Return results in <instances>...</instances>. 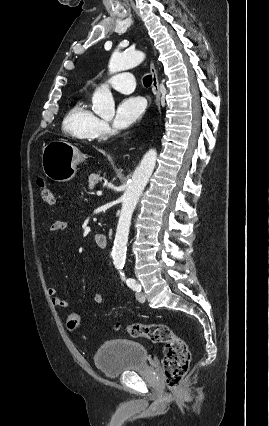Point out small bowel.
<instances>
[{
  "label": "small bowel",
  "instance_id": "small-bowel-1",
  "mask_svg": "<svg viewBox=\"0 0 269 426\" xmlns=\"http://www.w3.org/2000/svg\"><path fill=\"white\" fill-rule=\"evenodd\" d=\"M68 228V223L66 221H62V220H56L54 221L51 226H50V232L51 233H60V232H64L65 230H67ZM48 294L51 298L52 304L54 305V307L58 308V309H66L69 307V303L67 302V300H65L64 298H62L59 295V291L56 287H49L48 288ZM93 301L96 305L100 306L103 305L107 299L106 297H104L101 294H96L93 298ZM72 318H78L79 316L75 313H71L68 315V319H72Z\"/></svg>",
  "mask_w": 269,
  "mask_h": 426
}]
</instances>
